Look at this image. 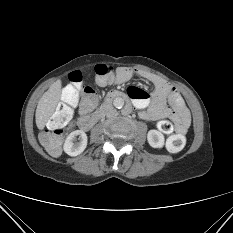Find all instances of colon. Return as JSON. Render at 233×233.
<instances>
[{
	"instance_id": "colon-1",
	"label": "colon",
	"mask_w": 233,
	"mask_h": 233,
	"mask_svg": "<svg viewBox=\"0 0 233 233\" xmlns=\"http://www.w3.org/2000/svg\"><path fill=\"white\" fill-rule=\"evenodd\" d=\"M95 81L99 85H106L115 79L112 66L98 64L94 68ZM69 84L63 90V101L57 106L51 116L46 128L40 135L43 146L51 153L58 154L64 136V127L70 120L72 109L77 104L79 95L94 97L95 91L92 87L83 84V75L80 71H73L68 76ZM186 138L182 134H174L167 140V148L171 152H178L184 148Z\"/></svg>"
}]
</instances>
